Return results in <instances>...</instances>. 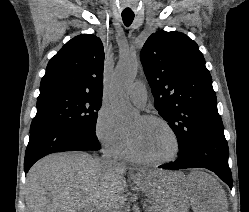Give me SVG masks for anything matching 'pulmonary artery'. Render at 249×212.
Here are the masks:
<instances>
[{
    "label": "pulmonary artery",
    "instance_id": "pulmonary-artery-1",
    "mask_svg": "<svg viewBox=\"0 0 249 212\" xmlns=\"http://www.w3.org/2000/svg\"><path fill=\"white\" fill-rule=\"evenodd\" d=\"M132 102L138 107H143L147 101V89L143 81L137 80L129 90Z\"/></svg>",
    "mask_w": 249,
    "mask_h": 212
}]
</instances>
